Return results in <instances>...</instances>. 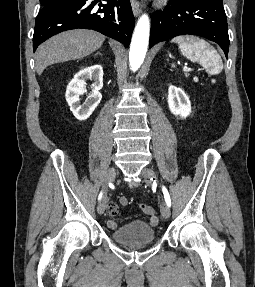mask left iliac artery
<instances>
[{"label": "left iliac artery", "mask_w": 255, "mask_h": 287, "mask_svg": "<svg viewBox=\"0 0 255 287\" xmlns=\"http://www.w3.org/2000/svg\"><path fill=\"white\" fill-rule=\"evenodd\" d=\"M162 190H163L165 201H166L167 205L170 206L171 205V200H170V196H169L168 190L164 186H163Z\"/></svg>", "instance_id": "left-iliac-artery-1"}]
</instances>
